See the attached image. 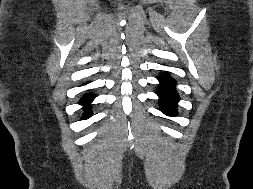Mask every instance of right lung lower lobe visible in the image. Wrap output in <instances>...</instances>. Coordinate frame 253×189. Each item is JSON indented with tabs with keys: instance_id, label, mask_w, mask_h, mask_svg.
I'll use <instances>...</instances> for the list:
<instances>
[{
	"instance_id": "1",
	"label": "right lung lower lobe",
	"mask_w": 253,
	"mask_h": 189,
	"mask_svg": "<svg viewBox=\"0 0 253 189\" xmlns=\"http://www.w3.org/2000/svg\"><path fill=\"white\" fill-rule=\"evenodd\" d=\"M94 96L93 95H85L80 101L79 104H82L85 106V108H87L89 106V104L93 101ZM91 116V112L89 110H87L83 116V119H87Z\"/></svg>"
}]
</instances>
